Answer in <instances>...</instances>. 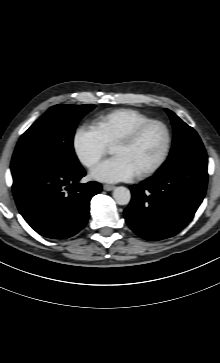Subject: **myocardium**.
Listing matches in <instances>:
<instances>
[{"instance_id": "myocardium-1", "label": "myocardium", "mask_w": 220, "mask_h": 363, "mask_svg": "<svg viewBox=\"0 0 220 363\" xmlns=\"http://www.w3.org/2000/svg\"><path fill=\"white\" fill-rule=\"evenodd\" d=\"M151 126H159L163 129V131L165 133L164 147H163V150L161 152L159 159L149 168L137 173L136 174L137 178H145V177L155 174L166 163L170 150H171V146H172V133H171V130L168 127V125L161 120L151 119L145 123H142V124L136 126L129 132L125 133L124 135L119 137L113 144V146H115V145H131L135 141H137L138 138Z\"/></svg>"}]
</instances>
